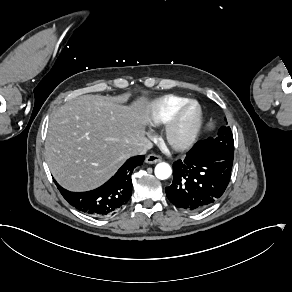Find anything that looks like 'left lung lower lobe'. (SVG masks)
<instances>
[{
  "instance_id": "1",
  "label": "left lung lower lobe",
  "mask_w": 292,
  "mask_h": 292,
  "mask_svg": "<svg viewBox=\"0 0 292 292\" xmlns=\"http://www.w3.org/2000/svg\"><path fill=\"white\" fill-rule=\"evenodd\" d=\"M201 141L192 147L184 160L174 162L173 182L165 189L173 205L189 212L203 210L222 196L233 166L231 156L199 152Z\"/></svg>"
}]
</instances>
